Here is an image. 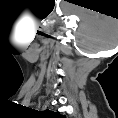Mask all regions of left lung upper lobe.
<instances>
[{
	"label": "left lung upper lobe",
	"instance_id": "5c2ea615",
	"mask_svg": "<svg viewBox=\"0 0 118 118\" xmlns=\"http://www.w3.org/2000/svg\"><path fill=\"white\" fill-rule=\"evenodd\" d=\"M47 112L50 113V114H54L53 112H50V111H48V110H47Z\"/></svg>",
	"mask_w": 118,
	"mask_h": 118
}]
</instances>
